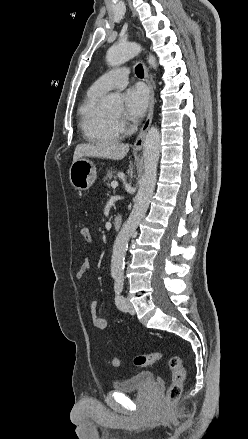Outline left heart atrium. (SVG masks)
I'll return each instance as SVG.
<instances>
[{
	"label": "left heart atrium",
	"instance_id": "left-heart-atrium-1",
	"mask_svg": "<svg viewBox=\"0 0 248 439\" xmlns=\"http://www.w3.org/2000/svg\"><path fill=\"white\" fill-rule=\"evenodd\" d=\"M125 115L131 120L140 119L148 107V92L140 85L127 89L124 93Z\"/></svg>",
	"mask_w": 248,
	"mask_h": 439
}]
</instances>
